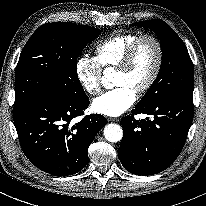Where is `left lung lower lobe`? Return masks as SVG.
Returning a JSON list of instances; mask_svg holds the SVG:
<instances>
[{"label": "left lung lower lobe", "mask_w": 206, "mask_h": 206, "mask_svg": "<svg viewBox=\"0 0 206 206\" xmlns=\"http://www.w3.org/2000/svg\"><path fill=\"white\" fill-rule=\"evenodd\" d=\"M121 119L123 138L119 158L136 175H152L168 168L178 157L193 120V94H178L151 104L136 105ZM151 119L136 120L135 114Z\"/></svg>", "instance_id": "obj_1"}]
</instances>
